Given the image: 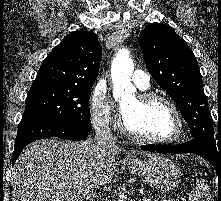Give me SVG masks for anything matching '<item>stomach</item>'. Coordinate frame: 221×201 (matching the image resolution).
<instances>
[{"label": "stomach", "mask_w": 221, "mask_h": 201, "mask_svg": "<svg viewBox=\"0 0 221 201\" xmlns=\"http://www.w3.org/2000/svg\"><path fill=\"white\" fill-rule=\"evenodd\" d=\"M127 166L131 172L157 190H171L180 182L181 173L178 167L160 154H149L146 159L128 162Z\"/></svg>", "instance_id": "stomach-1"}]
</instances>
